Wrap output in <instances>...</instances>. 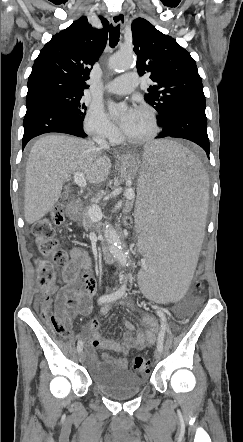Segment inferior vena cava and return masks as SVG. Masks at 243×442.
Wrapping results in <instances>:
<instances>
[{"mask_svg":"<svg viewBox=\"0 0 243 442\" xmlns=\"http://www.w3.org/2000/svg\"><path fill=\"white\" fill-rule=\"evenodd\" d=\"M93 141L98 145L100 150L109 149L107 141L101 136H94Z\"/></svg>","mask_w":243,"mask_h":442,"instance_id":"inferior-vena-cava-1","label":"inferior vena cava"}]
</instances>
